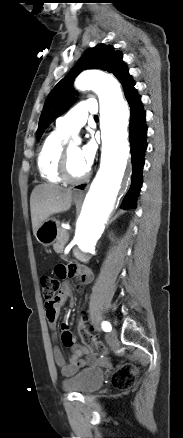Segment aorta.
I'll list each match as a JSON object with an SVG mask.
<instances>
[{
    "label": "aorta",
    "instance_id": "1",
    "mask_svg": "<svg viewBox=\"0 0 183 438\" xmlns=\"http://www.w3.org/2000/svg\"><path fill=\"white\" fill-rule=\"evenodd\" d=\"M75 87L94 90L100 102L102 154L100 168L86 194L76 222L75 242L82 252L94 250L114 208L129 157L130 112L119 82L112 76L86 71Z\"/></svg>",
    "mask_w": 183,
    "mask_h": 438
}]
</instances>
